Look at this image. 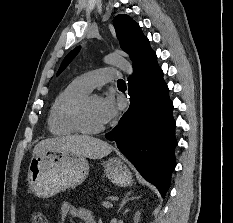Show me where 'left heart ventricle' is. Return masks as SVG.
Wrapping results in <instances>:
<instances>
[{"instance_id":"left-heart-ventricle-1","label":"left heart ventricle","mask_w":233,"mask_h":223,"mask_svg":"<svg viewBox=\"0 0 233 223\" xmlns=\"http://www.w3.org/2000/svg\"><path fill=\"white\" fill-rule=\"evenodd\" d=\"M98 103L99 99L97 97H93L88 102L85 114V122L89 128H97L103 125L98 118Z\"/></svg>"}]
</instances>
